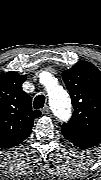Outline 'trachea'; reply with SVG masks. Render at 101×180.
Wrapping results in <instances>:
<instances>
[{
  "label": "trachea",
  "mask_w": 101,
  "mask_h": 180,
  "mask_svg": "<svg viewBox=\"0 0 101 180\" xmlns=\"http://www.w3.org/2000/svg\"><path fill=\"white\" fill-rule=\"evenodd\" d=\"M44 103H45V96L44 95H38L35 99H34V108L35 109H40V108H43L44 106Z\"/></svg>",
  "instance_id": "3493384b"
}]
</instances>
